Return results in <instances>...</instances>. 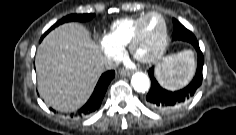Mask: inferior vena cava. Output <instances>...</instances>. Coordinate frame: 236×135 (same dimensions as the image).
Listing matches in <instances>:
<instances>
[{"label":"inferior vena cava","instance_id":"inferior-vena-cava-1","mask_svg":"<svg viewBox=\"0 0 236 135\" xmlns=\"http://www.w3.org/2000/svg\"><path fill=\"white\" fill-rule=\"evenodd\" d=\"M117 65V62L109 58H105V60L103 61V66L106 70L114 69L117 67Z\"/></svg>","mask_w":236,"mask_h":135}]
</instances>
